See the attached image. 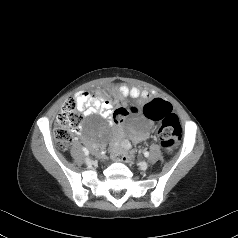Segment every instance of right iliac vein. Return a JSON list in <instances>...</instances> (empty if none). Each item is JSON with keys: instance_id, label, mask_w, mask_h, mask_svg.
<instances>
[{"instance_id": "1", "label": "right iliac vein", "mask_w": 238, "mask_h": 238, "mask_svg": "<svg viewBox=\"0 0 238 238\" xmlns=\"http://www.w3.org/2000/svg\"><path fill=\"white\" fill-rule=\"evenodd\" d=\"M85 163L86 164H90L91 163V160L89 158H85Z\"/></svg>"}]
</instances>
